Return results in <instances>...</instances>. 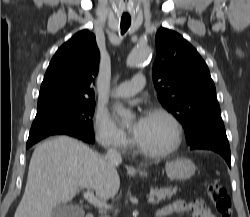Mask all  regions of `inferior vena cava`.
I'll list each match as a JSON object with an SVG mask.
<instances>
[{"mask_svg": "<svg viewBox=\"0 0 250 217\" xmlns=\"http://www.w3.org/2000/svg\"><path fill=\"white\" fill-rule=\"evenodd\" d=\"M105 159L113 166H118L122 162L121 154L115 148L107 150Z\"/></svg>", "mask_w": 250, "mask_h": 217, "instance_id": "602c4592", "label": "inferior vena cava"}]
</instances>
